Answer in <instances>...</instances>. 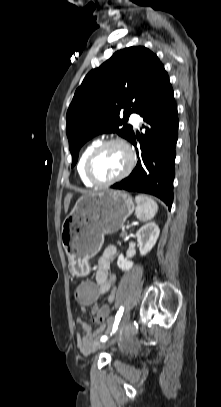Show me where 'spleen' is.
Returning <instances> with one entry per match:
<instances>
[{
    "label": "spleen",
    "instance_id": "3e777b00",
    "mask_svg": "<svg viewBox=\"0 0 221 407\" xmlns=\"http://www.w3.org/2000/svg\"><path fill=\"white\" fill-rule=\"evenodd\" d=\"M136 201V217L141 221H149L154 218L158 211L157 203L149 196L144 194H139L135 197Z\"/></svg>",
    "mask_w": 221,
    "mask_h": 407
}]
</instances>
